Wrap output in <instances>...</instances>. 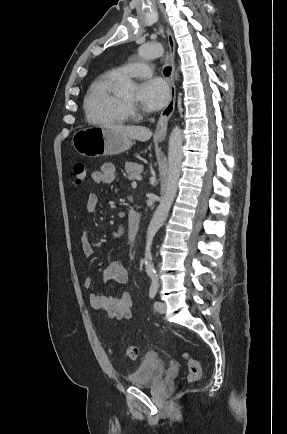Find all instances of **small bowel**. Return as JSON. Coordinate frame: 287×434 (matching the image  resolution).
I'll list each match as a JSON object with an SVG mask.
<instances>
[{"instance_id":"c3829d8e","label":"small bowel","mask_w":287,"mask_h":434,"mask_svg":"<svg viewBox=\"0 0 287 434\" xmlns=\"http://www.w3.org/2000/svg\"><path fill=\"white\" fill-rule=\"evenodd\" d=\"M92 182L96 185L111 184L116 179L115 167L110 163L101 165L99 170L92 172ZM99 205V198L96 194H90L85 203V210L87 213H94ZM124 234L122 228L113 232L116 238H120ZM83 256L90 258L94 254L92 244L87 236H83L80 241ZM104 280L106 282H113L117 284H125L129 280V272L124 264L115 260L109 264L104 271ZM83 287L91 289L94 281L90 276L83 278ZM91 306L100 311H104L110 318L114 319H127L131 316L134 299L128 292H122L118 297L111 295H102L93 292L89 296Z\"/></svg>"}]
</instances>
